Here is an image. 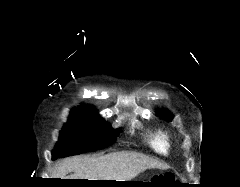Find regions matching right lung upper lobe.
I'll use <instances>...</instances> for the list:
<instances>
[{
	"label": "right lung upper lobe",
	"instance_id": "cb5924a9",
	"mask_svg": "<svg viewBox=\"0 0 240 187\" xmlns=\"http://www.w3.org/2000/svg\"><path fill=\"white\" fill-rule=\"evenodd\" d=\"M72 112H89V113H95L93 108L87 107V106H79V107L75 108L74 110H72Z\"/></svg>",
	"mask_w": 240,
	"mask_h": 187
}]
</instances>
